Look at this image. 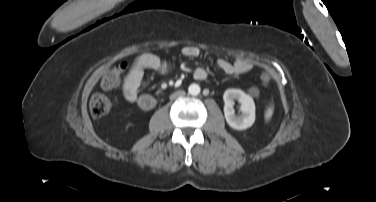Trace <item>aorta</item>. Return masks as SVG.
I'll return each mask as SVG.
<instances>
[{
	"label": "aorta",
	"mask_w": 376,
	"mask_h": 202,
	"mask_svg": "<svg viewBox=\"0 0 376 202\" xmlns=\"http://www.w3.org/2000/svg\"><path fill=\"white\" fill-rule=\"evenodd\" d=\"M188 93L191 95H198L200 93V86L198 84H191L188 88Z\"/></svg>",
	"instance_id": "aorta-1"
}]
</instances>
